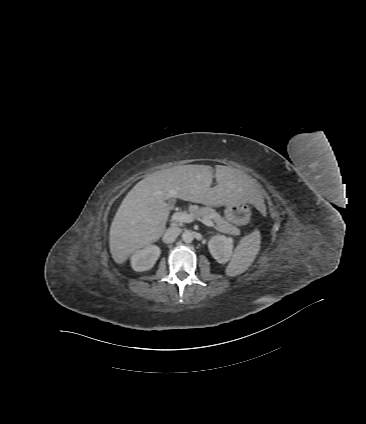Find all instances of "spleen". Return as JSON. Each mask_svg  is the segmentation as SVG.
<instances>
[{"label": "spleen", "instance_id": "3e777b00", "mask_svg": "<svg viewBox=\"0 0 366 424\" xmlns=\"http://www.w3.org/2000/svg\"><path fill=\"white\" fill-rule=\"evenodd\" d=\"M261 235L258 230L241 239L234 250L231 260L225 270L227 276L234 277L245 272L260 250Z\"/></svg>", "mask_w": 366, "mask_h": 424}]
</instances>
